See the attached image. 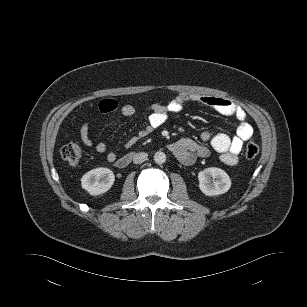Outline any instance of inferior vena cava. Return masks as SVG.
<instances>
[{
  "label": "inferior vena cava",
  "instance_id": "inferior-vena-cava-1",
  "mask_svg": "<svg viewBox=\"0 0 307 307\" xmlns=\"http://www.w3.org/2000/svg\"><path fill=\"white\" fill-rule=\"evenodd\" d=\"M148 154L145 152H140L134 155L133 162L135 164H140L147 160Z\"/></svg>",
  "mask_w": 307,
  "mask_h": 307
}]
</instances>
